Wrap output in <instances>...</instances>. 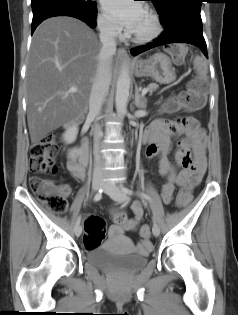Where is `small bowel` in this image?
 I'll return each mask as SVG.
<instances>
[{"mask_svg":"<svg viewBox=\"0 0 238 315\" xmlns=\"http://www.w3.org/2000/svg\"><path fill=\"white\" fill-rule=\"evenodd\" d=\"M184 137L179 141L176 151V160L183 167L177 171L169 161L168 154L171 151V137L175 134ZM142 142L147 144L145 154L147 158L158 159L159 174L166 178L162 186L161 196L165 203H170L176 187L182 191L191 189L198 184L206 170V142L207 136L199 122L194 118H182L176 123L170 124L165 121H157L147 127L141 135ZM193 153L191 164L190 153ZM89 147L86 140L80 144V157L76 160L73 156L68 163V171L77 180L85 178V170L89 163ZM71 192L69 185L59 188V193L68 196ZM133 218L127 219L123 225L114 224L109 228L111 235H121L125 231H134L143 217L144 210L140 201H134L131 205ZM152 243L148 238L141 240L137 245L138 253L149 252Z\"/></svg>","mask_w":238,"mask_h":315,"instance_id":"c3829d8e","label":"small bowel"}]
</instances>
